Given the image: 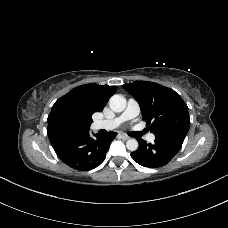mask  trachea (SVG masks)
<instances>
[{
  "mask_svg": "<svg viewBox=\"0 0 228 228\" xmlns=\"http://www.w3.org/2000/svg\"><path fill=\"white\" fill-rule=\"evenodd\" d=\"M146 132H147V130L144 129L143 131H140V132H131L129 135L132 136V137H141Z\"/></svg>",
  "mask_w": 228,
  "mask_h": 228,
  "instance_id": "obj_1",
  "label": "trachea"
}]
</instances>
